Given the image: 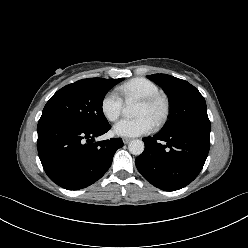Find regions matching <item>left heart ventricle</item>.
<instances>
[{
    "mask_svg": "<svg viewBox=\"0 0 248 248\" xmlns=\"http://www.w3.org/2000/svg\"><path fill=\"white\" fill-rule=\"evenodd\" d=\"M162 113V106L157 105L155 107H148L141 103L138 104L135 115L136 116H145L147 117L152 123H154Z\"/></svg>",
    "mask_w": 248,
    "mask_h": 248,
    "instance_id": "b2bd125f",
    "label": "left heart ventricle"
}]
</instances>
